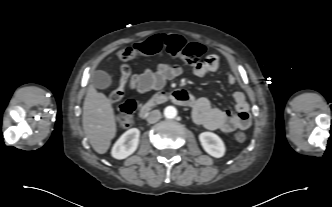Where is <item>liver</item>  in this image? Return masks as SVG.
I'll use <instances>...</instances> for the list:
<instances>
[{
	"label": "liver",
	"mask_w": 332,
	"mask_h": 207,
	"mask_svg": "<svg viewBox=\"0 0 332 207\" xmlns=\"http://www.w3.org/2000/svg\"><path fill=\"white\" fill-rule=\"evenodd\" d=\"M83 130L93 149L104 154L116 135V121L111 101L90 85L83 104Z\"/></svg>",
	"instance_id": "liver-1"
}]
</instances>
